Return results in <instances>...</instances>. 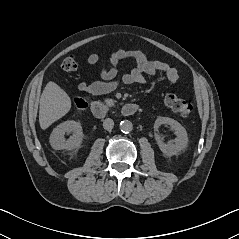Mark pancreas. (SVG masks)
<instances>
[{
	"instance_id": "obj_1",
	"label": "pancreas",
	"mask_w": 239,
	"mask_h": 239,
	"mask_svg": "<svg viewBox=\"0 0 239 239\" xmlns=\"http://www.w3.org/2000/svg\"><path fill=\"white\" fill-rule=\"evenodd\" d=\"M104 101H105V103H106L108 106H110V107L114 106L115 103H116L115 100L110 99V98H106Z\"/></svg>"
}]
</instances>
